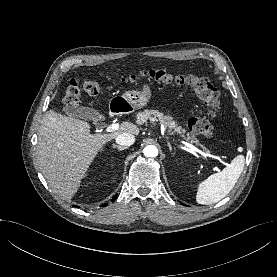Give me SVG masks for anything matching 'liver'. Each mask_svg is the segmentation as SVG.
Returning a JSON list of instances; mask_svg holds the SVG:
<instances>
[{
    "mask_svg": "<svg viewBox=\"0 0 277 277\" xmlns=\"http://www.w3.org/2000/svg\"><path fill=\"white\" fill-rule=\"evenodd\" d=\"M139 134L131 122H123L110 133L90 134L82 120L47 111L38 131V160L42 174L52 190L70 200L80 187L98 152L121 134Z\"/></svg>",
    "mask_w": 277,
    "mask_h": 277,
    "instance_id": "6515ba94",
    "label": "liver"
}]
</instances>
